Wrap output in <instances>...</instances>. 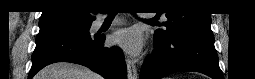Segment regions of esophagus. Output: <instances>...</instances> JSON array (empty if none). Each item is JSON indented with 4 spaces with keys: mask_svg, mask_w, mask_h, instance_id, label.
<instances>
[{
    "mask_svg": "<svg viewBox=\"0 0 255 79\" xmlns=\"http://www.w3.org/2000/svg\"><path fill=\"white\" fill-rule=\"evenodd\" d=\"M127 71H128V79H137V68L134 63L127 59Z\"/></svg>",
    "mask_w": 255,
    "mask_h": 79,
    "instance_id": "34e87169",
    "label": "esophagus"
}]
</instances>
